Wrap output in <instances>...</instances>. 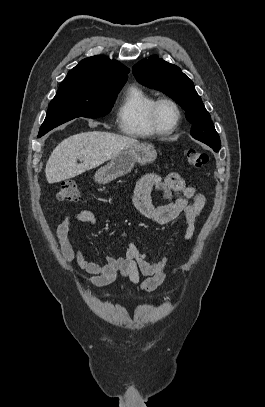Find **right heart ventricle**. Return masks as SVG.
<instances>
[{"mask_svg":"<svg viewBox=\"0 0 265 407\" xmlns=\"http://www.w3.org/2000/svg\"><path fill=\"white\" fill-rule=\"evenodd\" d=\"M154 101L155 97L143 88L136 85L129 86L122 96L116 113L121 132L137 138L156 136L157 133L149 121V111Z\"/></svg>","mask_w":265,"mask_h":407,"instance_id":"1","label":"right heart ventricle"}]
</instances>
